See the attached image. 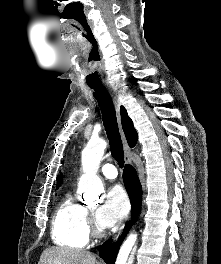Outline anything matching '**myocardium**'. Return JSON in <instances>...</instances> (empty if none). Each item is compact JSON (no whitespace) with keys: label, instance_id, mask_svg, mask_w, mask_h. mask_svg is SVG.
I'll return each instance as SVG.
<instances>
[{"label":"myocardium","instance_id":"obj_1","mask_svg":"<svg viewBox=\"0 0 221 264\" xmlns=\"http://www.w3.org/2000/svg\"><path fill=\"white\" fill-rule=\"evenodd\" d=\"M93 231L94 233L99 234L102 231V228L99 225H95Z\"/></svg>","mask_w":221,"mask_h":264}]
</instances>
